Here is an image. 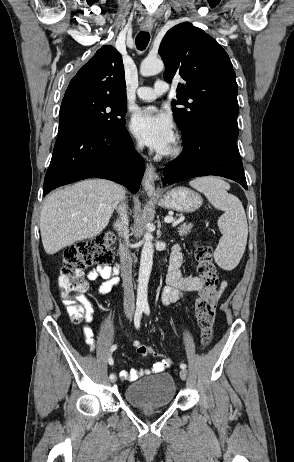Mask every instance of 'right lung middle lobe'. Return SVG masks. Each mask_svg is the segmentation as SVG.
Here are the masks:
<instances>
[{
  "instance_id": "obj_1",
  "label": "right lung middle lobe",
  "mask_w": 294,
  "mask_h": 462,
  "mask_svg": "<svg viewBox=\"0 0 294 462\" xmlns=\"http://www.w3.org/2000/svg\"><path fill=\"white\" fill-rule=\"evenodd\" d=\"M125 114L126 99L93 95L68 97L61 103L58 137L124 125Z\"/></svg>"
}]
</instances>
